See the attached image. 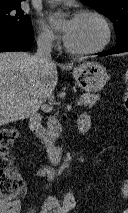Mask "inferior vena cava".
<instances>
[{"label": "inferior vena cava", "instance_id": "obj_1", "mask_svg": "<svg viewBox=\"0 0 128 213\" xmlns=\"http://www.w3.org/2000/svg\"><path fill=\"white\" fill-rule=\"evenodd\" d=\"M37 53L34 56L36 64L39 66L43 76L47 75L50 66L53 64L51 60L52 38L46 35L38 37ZM52 92L43 90L42 95L49 98Z\"/></svg>", "mask_w": 128, "mask_h": 213}]
</instances>
